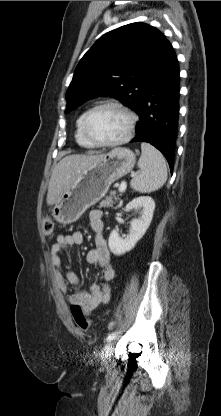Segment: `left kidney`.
Returning a JSON list of instances; mask_svg holds the SVG:
<instances>
[{
  "mask_svg": "<svg viewBox=\"0 0 221 416\" xmlns=\"http://www.w3.org/2000/svg\"><path fill=\"white\" fill-rule=\"evenodd\" d=\"M132 209H138L140 216L138 219L131 221L129 234L122 238L116 230L110 233L108 245L110 251L115 255H122L132 250L144 236L152 221L155 202L148 196L138 197L129 202L125 207V211Z\"/></svg>",
  "mask_w": 221,
  "mask_h": 416,
  "instance_id": "left-kidney-1",
  "label": "left kidney"
}]
</instances>
